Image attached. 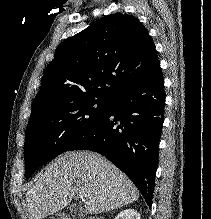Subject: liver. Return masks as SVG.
<instances>
[{"mask_svg":"<svg viewBox=\"0 0 211 219\" xmlns=\"http://www.w3.org/2000/svg\"><path fill=\"white\" fill-rule=\"evenodd\" d=\"M85 198V213L99 214L131 204L139 191L114 164L88 151L66 152L30 184L26 203L29 219H44Z\"/></svg>","mask_w":211,"mask_h":219,"instance_id":"liver-1","label":"liver"}]
</instances>
